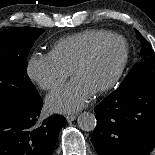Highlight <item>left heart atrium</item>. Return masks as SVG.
Instances as JSON below:
<instances>
[{"instance_id":"left-heart-atrium-1","label":"left heart atrium","mask_w":155,"mask_h":155,"mask_svg":"<svg viewBox=\"0 0 155 155\" xmlns=\"http://www.w3.org/2000/svg\"><path fill=\"white\" fill-rule=\"evenodd\" d=\"M79 80L73 79L66 86L51 93L47 97V106L51 111L73 113L83 108L93 96Z\"/></svg>"}]
</instances>
